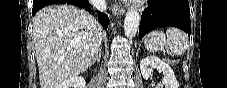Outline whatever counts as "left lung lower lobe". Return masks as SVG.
Returning <instances> with one entry per match:
<instances>
[{
	"instance_id": "left-lung-lower-lobe-1",
	"label": "left lung lower lobe",
	"mask_w": 227,
	"mask_h": 88,
	"mask_svg": "<svg viewBox=\"0 0 227 88\" xmlns=\"http://www.w3.org/2000/svg\"><path fill=\"white\" fill-rule=\"evenodd\" d=\"M142 13L139 39L149 31L161 27H177L190 36L191 22L188 0H148Z\"/></svg>"
}]
</instances>
